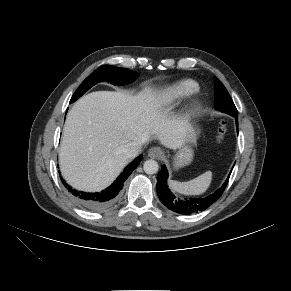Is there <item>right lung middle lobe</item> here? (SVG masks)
I'll return each mask as SVG.
<instances>
[{
	"mask_svg": "<svg viewBox=\"0 0 291 291\" xmlns=\"http://www.w3.org/2000/svg\"><path fill=\"white\" fill-rule=\"evenodd\" d=\"M137 76L138 74L136 72L131 71L127 68L103 65L81 83V85L73 94L70 103L76 101L88 89H90L93 85H95L98 82L106 80L113 84L122 85L135 80Z\"/></svg>",
	"mask_w": 291,
	"mask_h": 291,
	"instance_id": "obj_1",
	"label": "right lung middle lobe"
}]
</instances>
